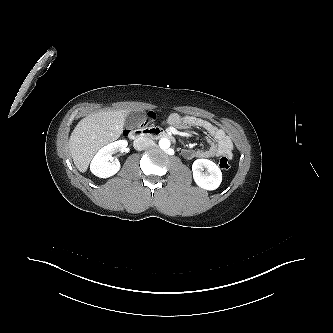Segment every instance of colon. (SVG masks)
I'll return each mask as SVG.
<instances>
[{"instance_id":"colon-1","label":"colon","mask_w":333,"mask_h":333,"mask_svg":"<svg viewBox=\"0 0 333 333\" xmlns=\"http://www.w3.org/2000/svg\"><path fill=\"white\" fill-rule=\"evenodd\" d=\"M155 120V114L153 112H148L144 117V124H149ZM219 166L223 170H228L230 168V159L228 156L224 155L219 160Z\"/></svg>"}]
</instances>
